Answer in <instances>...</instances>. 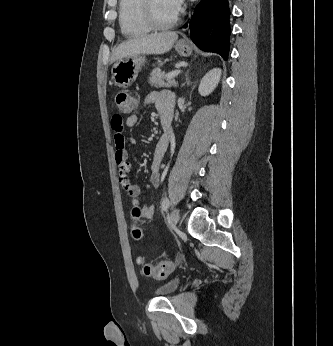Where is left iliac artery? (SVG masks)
I'll list each match as a JSON object with an SVG mask.
<instances>
[{"label":"left iliac artery","instance_id":"44dca946","mask_svg":"<svg viewBox=\"0 0 333 346\" xmlns=\"http://www.w3.org/2000/svg\"><path fill=\"white\" fill-rule=\"evenodd\" d=\"M170 202L167 197H165L162 201L161 208L163 211H166L169 208Z\"/></svg>","mask_w":333,"mask_h":346}]
</instances>
